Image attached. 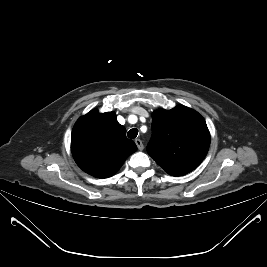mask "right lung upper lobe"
Masks as SVG:
<instances>
[{
	"mask_svg": "<svg viewBox=\"0 0 267 267\" xmlns=\"http://www.w3.org/2000/svg\"><path fill=\"white\" fill-rule=\"evenodd\" d=\"M137 150L126 137L114 112L92 110L75 123L71 135V151L77 165L89 175L108 178Z\"/></svg>",
	"mask_w": 267,
	"mask_h": 267,
	"instance_id": "obj_1",
	"label": "right lung upper lobe"
}]
</instances>
